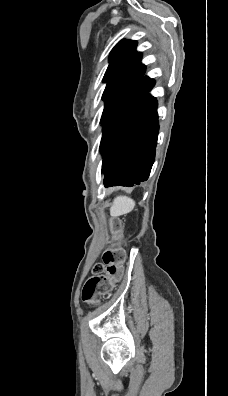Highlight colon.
<instances>
[{
    "label": "colon",
    "instance_id": "obj_1",
    "mask_svg": "<svg viewBox=\"0 0 228 396\" xmlns=\"http://www.w3.org/2000/svg\"><path fill=\"white\" fill-rule=\"evenodd\" d=\"M112 241L103 254V263H97L92 269V276L82 289V300L90 305L96 304L109 292L114 283L121 279L126 254L121 245V224L114 220L111 225Z\"/></svg>",
    "mask_w": 228,
    "mask_h": 396
}]
</instances>
